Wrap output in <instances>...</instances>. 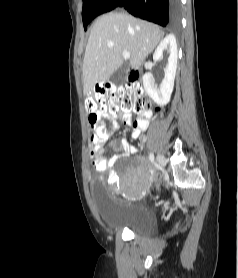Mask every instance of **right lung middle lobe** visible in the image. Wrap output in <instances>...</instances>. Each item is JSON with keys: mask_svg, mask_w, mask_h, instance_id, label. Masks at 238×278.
<instances>
[{"mask_svg": "<svg viewBox=\"0 0 238 278\" xmlns=\"http://www.w3.org/2000/svg\"><path fill=\"white\" fill-rule=\"evenodd\" d=\"M103 0H84L83 8H82V19L84 23V29H87V25L93 19V14L99 4Z\"/></svg>", "mask_w": 238, "mask_h": 278, "instance_id": "dd1d6c3e", "label": "right lung middle lobe"}]
</instances>
